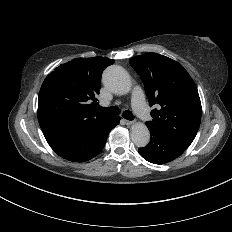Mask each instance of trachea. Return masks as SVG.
<instances>
[{
	"mask_svg": "<svg viewBox=\"0 0 232 232\" xmlns=\"http://www.w3.org/2000/svg\"><path fill=\"white\" fill-rule=\"evenodd\" d=\"M97 109H98L99 111H102V112H104V113H108V114H111V115H117V114L120 113L119 108L116 107V106H111V107H107V108L101 107V106H97ZM123 117H124L125 119H127V120H130V121H133L134 118H135V117L133 116L132 112L129 111V110L124 111Z\"/></svg>",
	"mask_w": 232,
	"mask_h": 232,
	"instance_id": "trachea-1",
	"label": "trachea"
}]
</instances>
